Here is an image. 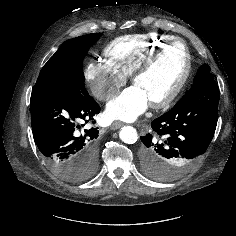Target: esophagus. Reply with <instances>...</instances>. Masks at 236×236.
Returning <instances> with one entry per match:
<instances>
[{
    "instance_id": "esophagus-1",
    "label": "esophagus",
    "mask_w": 236,
    "mask_h": 236,
    "mask_svg": "<svg viewBox=\"0 0 236 236\" xmlns=\"http://www.w3.org/2000/svg\"><path fill=\"white\" fill-rule=\"evenodd\" d=\"M122 125H123L122 122H120V121H115V122H113V123L110 125V128H111L112 130H115V129L120 128Z\"/></svg>"
}]
</instances>
